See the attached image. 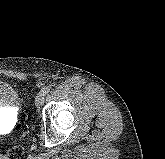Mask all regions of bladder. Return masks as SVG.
<instances>
[{
    "label": "bladder",
    "mask_w": 165,
    "mask_h": 159,
    "mask_svg": "<svg viewBox=\"0 0 165 159\" xmlns=\"http://www.w3.org/2000/svg\"><path fill=\"white\" fill-rule=\"evenodd\" d=\"M20 101L18 92L9 83L0 81V106L15 105Z\"/></svg>",
    "instance_id": "1"
}]
</instances>
